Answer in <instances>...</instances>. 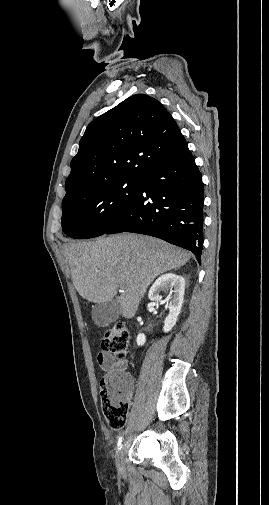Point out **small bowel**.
<instances>
[{
  "mask_svg": "<svg viewBox=\"0 0 269 505\" xmlns=\"http://www.w3.org/2000/svg\"><path fill=\"white\" fill-rule=\"evenodd\" d=\"M97 361L101 369L107 375L121 374L124 373L127 362L125 360H117L110 354L105 352H100L97 356Z\"/></svg>",
  "mask_w": 269,
  "mask_h": 505,
  "instance_id": "1",
  "label": "small bowel"
}]
</instances>
